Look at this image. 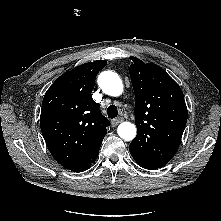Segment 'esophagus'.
<instances>
[{
	"label": "esophagus",
	"mask_w": 221,
	"mask_h": 221,
	"mask_svg": "<svg viewBox=\"0 0 221 221\" xmlns=\"http://www.w3.org/2000/svg\"><path fill=\"white\" fill-rule=\"evenodd\" d=\"M123 117H117L111 121L112 126H117L119 123L123 121Z\"/></svg>",
	"instance_id": "esophagus-1"
}]
</instances>
